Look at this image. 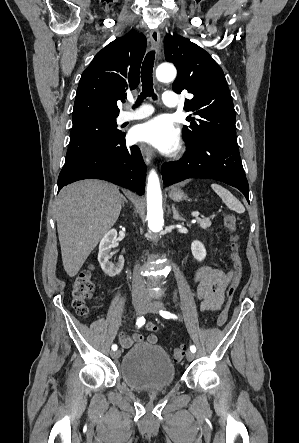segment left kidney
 Listing matches in <instances>:
<instances>
[{
    "label": "left kidney",
    "mask_w": 299,
    "mask_h": 443,
    "mask_svg": "<svg viewBox=\"0 0 299 443\" xmlns=\"http://www.w3.org/2000/svg\"><path fill=\"white\" fill-rule=\"evenodd\" d=\"M191 251L192 255L197 261L201 262L206 257V249L204 245L198 240L192 242Z\"/></svg>",
    "instance_id": "1"
}]
</instances>
